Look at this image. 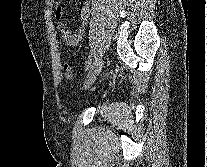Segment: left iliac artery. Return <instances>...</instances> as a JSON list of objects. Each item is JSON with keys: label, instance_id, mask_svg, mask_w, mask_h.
<instances>
[{"label": "left iliac artery", "instance_id": "1", "mask_svg": "<svg viewBox=\"0 0 207 167\" xmlns=\"http://www.w3.org/2000/svg\"><path fill=\"white\" fill-rule=\"evenodd\" d=\"M91 59L89 58L87 61H86V66H85V70H88L89 67L91 66Z\"/></svg>", "mask_w": 207, "mask_h": 167}]
</instances>
